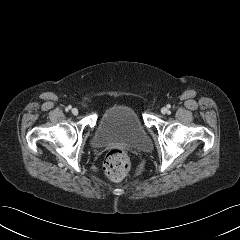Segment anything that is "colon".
<instances>
[{"label":"colon","instance_id":"obj_1","mask_svg":"<svg viewBox=\"0 0 240 240\" xmlns=\"http://www.w3.org/2000/svg\"><path fill=\"white\" fill-rule=\"evenodd\" d=\"M131 167L130 159L127 153L121 149L110 150L103 162L104 174L113 181L123 179Z\"/></svg>","mask_w":240,"mask_h":240}]
</instances>
